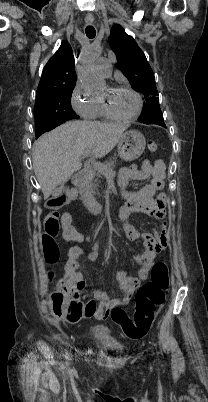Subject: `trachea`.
Instances as JSON below:
<instances>
[{
	"instance_id": "3493384b",
	"label": "trachea",
	"mask_w": 208,
	"mask_h": 402,
	"mask_svg": "<svg viewBox=\"0 0 208 402\" xmlns=\"http://www.w3.org/2000/svg\"><path fill=\"white\" fill-rule=\"evenodd\" d=\"M85 33H86L88 38H94L95 35H96V31H95L94 27H92L91 25H88L86 27Z\"/></svg>"
}]
</instances>
